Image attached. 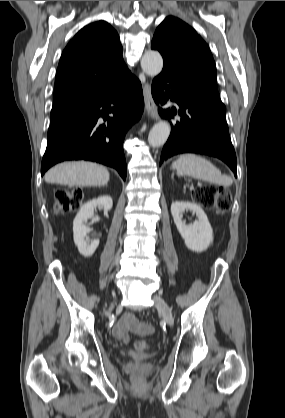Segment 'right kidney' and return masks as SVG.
<instances>
[{"label": "right kidney", "instance_id": "obj_1", "mask_svg": "<svg viewBox=\"0 0 285 418\" xmlns=\"http://www.w3.org/2000/svg\"><path fill=\"white\" fill-rule=\"evenodd\" d=\"M112 205L113 201L110 196H101L85 203L77 213L73 221V237L75 245L84 257H91L99 245V239L88 241L89 229L86 226L88 219L93 217L97 207L108 212Z\"/></svg>", "mask_w": 285, "mask_h": 418}]
</instances>
